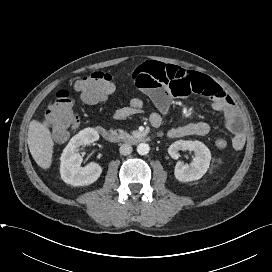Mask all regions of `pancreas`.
<instances>
[{
    "label": "pancreas",
    "mask_w": 272,
    "mask_h": 272,
    "mask_svg": "<svg viewBox=\"0 0 272 272\" xmlns=\"http://www.w3.org/2000/svg\"><path fill=\"white\" fill-rule=\"evenodd\" d=\"M110 132L116 138L121 139V140H128L131 138V136L127 132H125L124 130H121V129H119V130L111 129Z\"/></svg>",
    "instance_id": "cf45deb5"
}]
</instances>
